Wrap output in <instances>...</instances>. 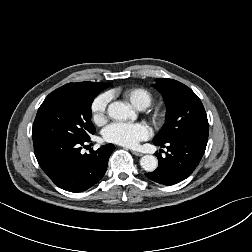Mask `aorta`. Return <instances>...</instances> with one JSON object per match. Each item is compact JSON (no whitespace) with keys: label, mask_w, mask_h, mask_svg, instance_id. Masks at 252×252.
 I'll return each mask as SVG.
<instances>
[{"label":"aorta","mask_w":252,"mask_h":252,"mask_svg":"<svg viewBox=\"0 0 252 252\" xmlns=\"http://www.w3.org/2000/svg\"><path fill=\"white\" fill-rule=\"evenodd\" d=\"M108 115L115 120H126L129 118L135 119L136 114L130 105L122 102H113L108 106ZM141 167L147 171L152 172L158 166L157 158L153 155H145L140 159Z\"/></svg>","instance_id":"1"}]
</instances>
